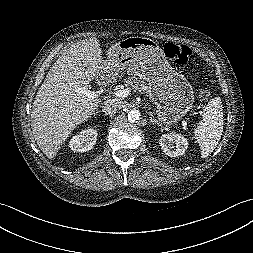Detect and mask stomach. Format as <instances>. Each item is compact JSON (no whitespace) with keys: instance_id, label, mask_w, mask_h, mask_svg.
I'll return each instance as SVG.
<instances>
[{"instance_id":"1","label":"stomach","mask_w":253,"mask_h":253,"mask_svg":"<svg viewBox=\"0 0 253 253\" xmlns=\"http://www.w3.org/2000/svg\"><path fill=\"white\" fill-rule=\"evenodd\" d=\"M104 71L119 70L139 75L149 84V97L156 105L161 124L178 122L193 106L194 92L188 80L168 63L158 43L145 37H130L113 45Z\"/></svg>"}]
</instances>
